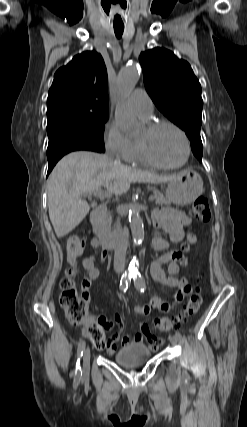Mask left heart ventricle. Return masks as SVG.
Masks as SVG:
<instances>
[{"instance_id":"obj_1","label":"left heart ventricle","mask_w":247,"mask_h":427,"mask_svg":"<svg viewBox=\"0 0 247 427\" xmlns=\"http://www.w3.org/2000/svg\"><path fill=\"white\" fill-rule=\"evenodd\" d=\"M139 141L147 144L152 156L159 162L167 165L180 163L185 154L181 136L170 127H162L153 133L147 129L141 134Z\"/></svg>"}]
</instances>
